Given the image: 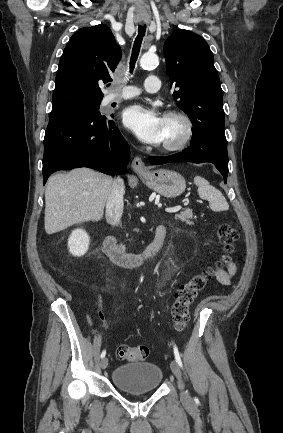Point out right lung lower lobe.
<instances>
[{
	"mask_svg": "<svg viewBox=\"0 0 283 433\" xmlns=\"http://www.w3.org/2000/svg\"><path fill=\"white\" fill-rule=\"evenodd\" d=\"M129 154L114 121L99 111L50 117L44 138L43 184L53 172L77 167L122 174Z\"/></svg>",
	"mask_w": 283,
	"mask_h": 433,
	"instance_id": "obj_1",
	"label": "right lung lower lobe"
}]
</instances>
